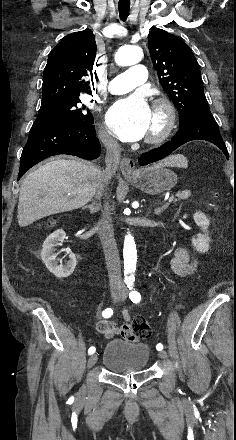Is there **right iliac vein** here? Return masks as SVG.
Returning a JSON list of instances; mask_svg holds the SVG:
<instances>
[{
	"mask_svg": "<svg viewBox=\"0 0 236 440\" xmlns=\"http://www.w3.org/2000/svg\"><path fill=\"white\" fill-rule=\"evenodd\" d=\"M111 295L113 299H117L120 297V293L118 292H113ZM96 362H97V355L96 354L91 355L88 359V364H87L88 368L93 367L96 364Z\"/></svg>",
	"mask_w": 236,
	"mask_h": 440,
	"instance_id": "obj_1",
	"label": "right iliac vein"
}]
</instances>
